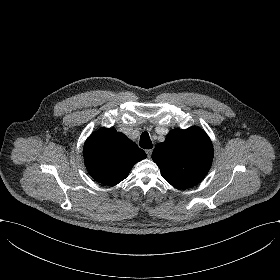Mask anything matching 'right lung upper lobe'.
<instances>
[{
  "instance_id": "right-lung-upper-lobe-1",
  "label": "right lung upper lobe",
  "mask_w": 280,
  "mask_h": 280,
  "mask_svg": "<svg viewBox=\"0 0 280 280\" xmlns=\"http://www.w3.org/2000/svg\"><path fill=\"white\" fill-rule=\"evenodd\" d=\"M83 153L90 175L110 186L124 180L133 165L146 158L142 149L114 128L94 132L86 140Z\"/></svg>"
}]
</instances>
